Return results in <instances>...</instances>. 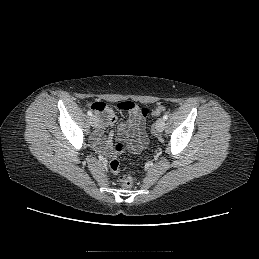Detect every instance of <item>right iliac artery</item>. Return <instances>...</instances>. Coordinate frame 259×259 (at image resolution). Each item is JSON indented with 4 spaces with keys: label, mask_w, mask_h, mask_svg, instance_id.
Returning a JSON list of instances; mask_svg holds the SVG:
<instances>
[{
    "label": "right iliac artery",
    "mask_w": 259,
    "mask_h": 259,
    "mask_svg": "<svg viewBox=\"0 0 259 259\" xmlns=\"http://www.w3.org/2000/svg\"><path fill=\"white\" fill-rule=\"evenodd\" d=\"M87 114H88V116H92L93 115L91 111H88Z\"/></svg>",
    "instance_id": "right-iliac-artery-1"
}]
</instances>
